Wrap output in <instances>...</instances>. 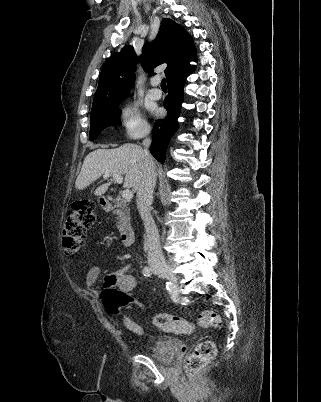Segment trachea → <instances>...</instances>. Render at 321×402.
Returning <instances> with one entry per match:
<instances>
[{"mask_svg": "<svg viewBox=\"0 0 321 402\" xmlns=\"http://www.w3.org/2000/svg\"><path fill=\"white\" fill-rule=\"evenodd\" d=\"M161 88H162V89H167V85H166V80H165V79H162V81H161Z\"/></svg>", "mask_w": 321, "mask_h": 402, "instance_id": "obj_1", "label": "trachea"}]
</instances>
